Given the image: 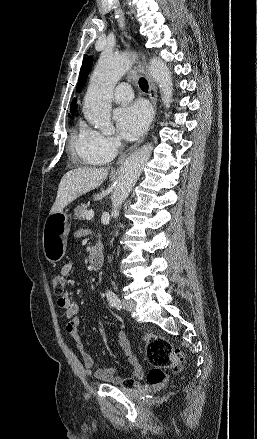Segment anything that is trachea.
Instances as JSON below:
<instances>
[{"mask_svg": "<svg viewBox=\"0 0 257 439\" xmlns=\"http://www.w3.org/2000/svg\"><path fill=\"white\" fill-rule=\"evenodd\" d=\"M139 86L141 88L142 91H147L148 90V82L145 78H140L139 79Z\"/></svg>", "mask_w": 257, "mask_h": 439, "instance_id": "obj_1", "label": "trachea"}]
</instances>
